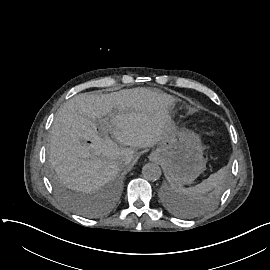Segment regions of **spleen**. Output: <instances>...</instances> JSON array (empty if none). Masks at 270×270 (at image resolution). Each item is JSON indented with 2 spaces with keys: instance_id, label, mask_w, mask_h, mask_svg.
Returning <instances> with one entry per match:
<instances>
[{
  "instance_id": "1",
  "label": "spleen",
  "mask_w": 270,
  "mask_h": 270,
  "mask_svg": "<svg viewBox=\"0 0 270 270\" xmlns=\"http://www.w3.org/2000/svg\"><path fill=\"white\" fill-rule=\"evenodd\" d=\"M226 176L227 171L222 168L194 187L183 188L179 184H172L171 188L174 191L175 198L181 201L184 208L196 209L195 206L201 200L202 195L212 188L220 189L226 180Z\"/></svg>"
}]
</instances>
